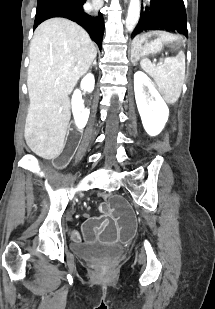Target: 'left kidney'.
<instances>
[{
	"instance_id": "5707ae66",
	"label": "left kidney",
	"mask_w": 215,
	"mask_h": 309,
	"mask_svg": "<svg viewBox=\"0 0 215 309\" xmlns=\"http://www.w3.org/2000/svg\"><path fill=\"white\" fill-rule=\"evenodd\" d=\"M144 86H147L151 96H147ZM134 90L142 124L150 136H156L168 120L169 108L158 90L153 86L150 78L142 70H137L134 74ZM152 96L155 100H151Z\"/></svg>"
}]
</instances>
